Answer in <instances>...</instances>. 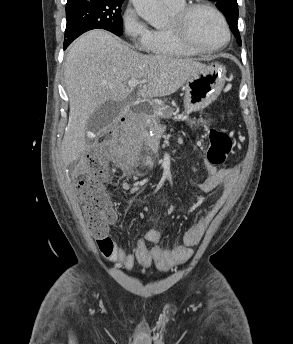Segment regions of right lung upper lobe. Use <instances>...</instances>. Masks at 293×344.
Masks as SVG:
<instances>
[{
    "label": "right lung upper lobe",
    "mask_w": 293,
    "mask_h": 344,
    "mask_svg": "<svg viewBox=\"0 0 293 344\" xmlns=\"http://www.w3.org/2000/svg\"><path fill=\"white\" fill-rule=\"evenodd\" d=\"M77 1H80V0H67V4L74 3V2H77Z\"/></svg>",
    "instance_id": "1"
}]
</instances>
